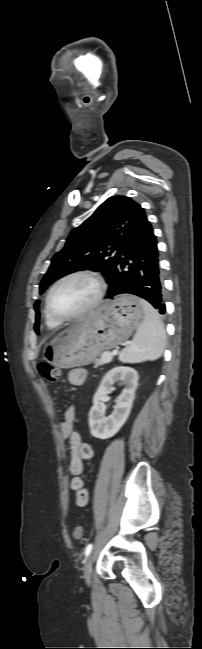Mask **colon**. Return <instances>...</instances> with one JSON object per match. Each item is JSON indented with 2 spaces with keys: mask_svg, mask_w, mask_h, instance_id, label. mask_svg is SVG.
Segmentation results:
<instances>
[{
  "mask_svg": "<svg viewBox=\"0 0 202 649\" xmlns=\"http://www.w3.org/2000/svg\"><path fill=\"white\" fill-rule=\"evenodd\" d=\"M38 371L44 379L51 382L57 381L60 376L59 369L48 363H40L38 365ZM83 535H84V529L82 525H77L73 531L74 539L83 542L84 541Z\"/></svg>",
  "mask_w": 202,
  "mask_h": 649,
  "instance_id": "5ec220e1",
  "label": "colon"
}]
</instances>
